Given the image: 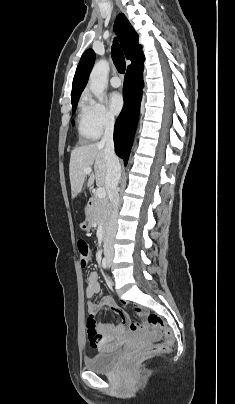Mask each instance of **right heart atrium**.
Here are the masks:
<instances>
[{
  "label": "right heart atrium",
  "mask_w": 235,
  "mask_h": 404,
  "mask_svg": "<svg viewBox=\"0 0 235 404\" xmlns=\"http://www.w3.org/2000/svg\"><path fill=\"white\" fill-rule=\"evenodd\" d=\"M82 104L87 111L91 126L96 134L100 135L114 126L115 118L104 103L86 94L83 97Z\"/></svg>",
  "instance_id": "d8ad5b80"
}]
</instances>
